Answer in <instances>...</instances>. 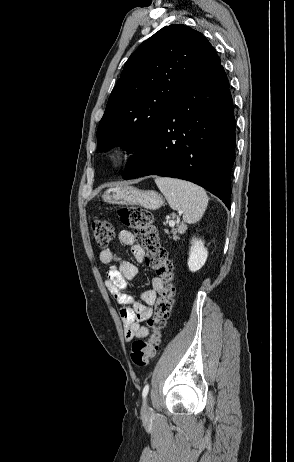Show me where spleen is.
<instances>
[{
  "label": "spleen",
  "instance_id": "3e777b00",
  "mask_svg": "<svg viewBox=\"0 0 294 462\" xmlns=\"http://www.w3.org/2000/svg\"><path fill=\"white\" fill-rule=\"evenodd\" d=\"M155 183L170 207L182 211L185 222L193 224L201 219L209 200L203 188L187 181L165 177H157Z\"/></svg>",
  "mask_w": 294,
  "mask_h": 462
}]
</instances>
